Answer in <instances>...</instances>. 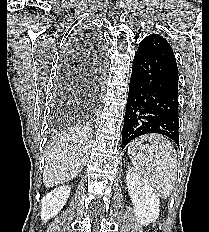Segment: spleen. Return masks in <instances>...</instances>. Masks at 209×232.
<instances>
[{
	"label": "spleen",
	"mask_w": 209,
	"mask_h": 232,
	"mask_svg": "<svg viewBox=\"0 0 209 232\" xmlns=\"http://www.w3.org/2000/svg\"><path fill=\"white\" fill-rule=\"evenodd\" d=\"M151 145H142L144 141ZM128 155L135 172L142 176L161 197L167 199L177 181V155L174 146L161 135H147L132 141Z\"/></svg>",
	"instance_id": "1"
}]
</instances>
